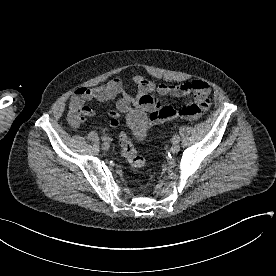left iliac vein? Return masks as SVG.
<instances>
[{"instance_id":"obj_1","label":"left iliac vein","mask_w":276,"mask_h":276,"mask_svg":"<svg viewBox=\"0 0 276 276\" xmlns=\"http://www.w3.org/2000/svg\"><path fill=\"white\" fill-rule=\"evenodd\" d=\"M180 150L179 142H173L171 146L172 153H177Z\"/></svg>"}]
</instances>
